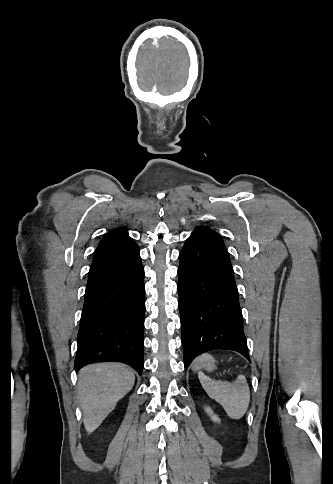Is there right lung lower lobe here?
<instances>
[{
	"label": "right lung lower lobe",
	"mask_w": 333,
	"mask_h": 484,
	"mask_svg": "<svg viewBox=\"0 0 333 484\" xmlns=\"http://www.w3.org/2000/svg\"><path fill=\"white\" fill-rule=\"evenodd\" d=\"M144 269L137 244L94 256L88 274L74 368L120 361L143 368Z\"/></svg>",
	"instance_id": "1"
}]
</instances>
